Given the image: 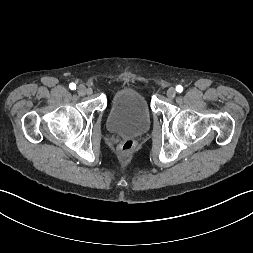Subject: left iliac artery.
Listing matches in <instances>:
<instances>
[{"label": "left iliac artery", "instance_id": "left-iliac-artery-1", "mask_svg": "<svg viewBox=\"0 0 253 253\" xmlns=\"http://www.w3.org/2000/svg\"><path fill=\"white\" fill-rule=\"evenodd\" d=\"M176 91L181 93L183 91V87L181 85L176 86Z\"/></svg>", "mask_w": 253, "mask_h": 253}]
</instances>
